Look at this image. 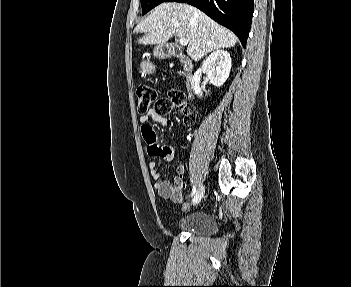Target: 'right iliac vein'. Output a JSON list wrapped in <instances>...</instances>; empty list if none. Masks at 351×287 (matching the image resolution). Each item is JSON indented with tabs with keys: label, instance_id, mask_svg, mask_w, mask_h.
Listing matches in <instances>:
<instances>
[{
	"label": "right iliac vein",
	"instance_id": "63e3f726",
	"mask_svg": "<svg viewBox=\"0 0 351 287\" xmlns=\"http://www.w3.org/2000/svg\"><path fill=\"white\" fill-rule=\"evenodd\" d=\"M204 193H205V187L203 184H201L193 198V201H192L193 205H197L201 201L202 197L204 196Z\"/></svg>",
	"mask_w": 351,
	"mask_h": 287
}]
</instances>
